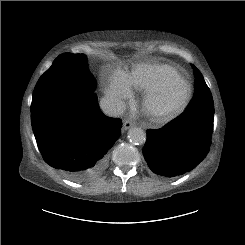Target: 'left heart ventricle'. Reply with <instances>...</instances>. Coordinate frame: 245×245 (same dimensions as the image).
<instances>
[{
    "instance_id": "obj_1",
    "label": "left heart ventricle",
    "mask_w": 245,
    "mask_h": 245,
    "mask_svg": "<svg viewBox=\"0 0 245 245\" xmlns=\"http://www.w3.org/2000/svg\"><path fill=\"white\" fill-rule=\"evenodd\" d=\"M182 90V84H177L175 86V88L172 90L171 94L165 98V100L163 101V103H168V102H171L172 100H174L178 94L180 93V91Z\"/></svg>"
}]
</instances>
